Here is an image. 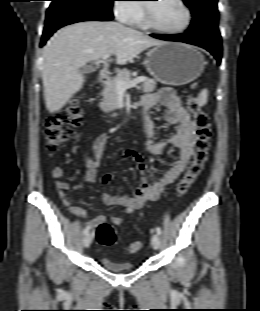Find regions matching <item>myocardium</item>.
Wrapping results in <instances>:
<instances>
[{"mask_svg": "<svg viewBox=\"0 0 260 311\" xmlns=\"http://www.w3.org/2000/svg\"><path fill=\"white\" fill-rule=\"evenodd\" d=\"M176 1L180 4V6L185 11V21L181 27L177 29H166V28H162L158 26L153 19L150 3L143 5V17H144L146 26L154 31H157L163 34H168V35H176V34H180L188 30L192 22L191 9L185 0H176Z\"/></svg>", "mask_w": 260, "mask_h": 311, "instance_id": "myocardium-1", "label": "myocardium"}]
</instances>
